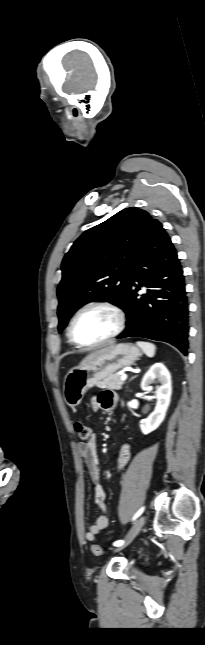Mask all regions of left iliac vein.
<instances>
[{"instance_id":"left-iliac-vein-1","label":"left iliac vein","mask_w":205,"mask_h":645,"mask_svg":"<svg viewBox=\"0 0 205 645\" xmlns=\"http://www.w3.org/2000/svg\"><path fill=\"white\" fill-rule=\"evenodd\" d=\"M144 523H145V516H142L134 523L133 527L131 528L127 536L125 543H123L121 546H118L114 551L115 552L120 551L121 549L129 545L132 542V540L137 536V534L143 527Z\"/></svg>"}]
</instances>
